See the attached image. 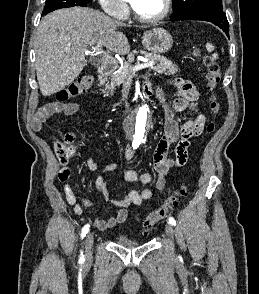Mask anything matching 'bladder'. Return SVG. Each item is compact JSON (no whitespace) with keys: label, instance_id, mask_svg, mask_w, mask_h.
I'll return each mask as SVG.
<instances>
[{"label":"bladder","instance_id":"31cf9c89","mask_svg":"<svg viewBox=\"0 0 259 294\" xmlns=\"http://www.w3.org/2000/svg\"><path fill=\"white\" fill-rule=\"evenodd\" d=\"M116 243L120 246H123V247H137L139 246L141 243L140 242H136V241H133V240H130L126 237H118L117 240H116Z\"/></svg>","mask_w":259,"mask_h":294}]
</instances>
